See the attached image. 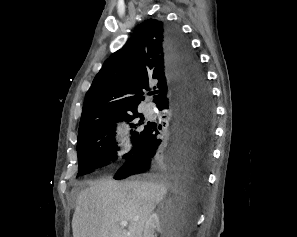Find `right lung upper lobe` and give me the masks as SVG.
<instances>
[{"mask_svg": "<svg viewBox=\"0 0 297 237\" xmlns=\"http://www.w3.org/2000/svg\"><path fill=\"white\" fill-rule=\"evenodd\" d=\"M165 28L162 21L146 20L136 27L127 44L105 61L86 93L78 135L107 118L137 112L149 83H156L159 89L154 98L157 106L169 96L172 76Z\"/></svg>", "mask_w": 297, "mask_h": 237, "instance_id": "cb5924a9", "label": "right lung upper lobe"}]
</instances>
